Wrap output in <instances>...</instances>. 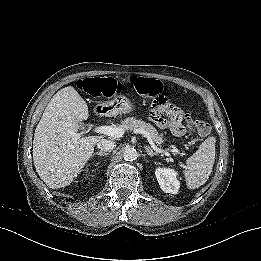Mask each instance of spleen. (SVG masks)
<instances>
[{
  "label": "spleen",
  "instance_id": "3e777b00",
  "mask_svg": "<svg viewBox=\"0 0 261 261\" xmlns=\"http://www.w3.org/2000/svg\"><path fill=\"white\" fill-rule=\"evenodd\" d=\"M215 161V151L211 139H206L199 149L186 160L184 176L187 187L195 189L209 178Z\"/></svg>",
  "mask_w": 261,
  "mask_h": 261
}]
</instances>
